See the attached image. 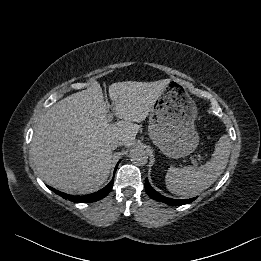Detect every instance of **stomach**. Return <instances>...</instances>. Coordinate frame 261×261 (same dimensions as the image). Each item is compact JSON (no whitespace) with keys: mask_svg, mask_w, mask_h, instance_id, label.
Wrapping results in <instances>:
<instances>
[{"mask_svg":"<svg viewBox=\"0 0 261 261\" xmlns=\"http://www.w3.org/2000/svg\"><path fill=\"white\" fill-rule=\"evenodd\" d=\"M197 112L185 83L176 78L168 79L150 110L148 132L152 142L171 158L191 154L199 144L194 125Z\"/></svg>","mask_w":261,"mask_h":261,"instance_id":"obj_1","label":"stomach"}]
</instances>
